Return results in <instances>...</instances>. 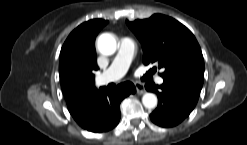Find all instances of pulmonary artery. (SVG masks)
<instances>
[{
  "instance_id": "e3ab8cb5",
  "label": "pulmonary artery",
  "mask_w": 247,
  "mask_h": 145,
  "mask_svg": "<svg viewBox=\"0 0 247 145\" xmlns=\"http://www.w3.org/2000/svg\"><path fill=\"white\" fill-rule=\"evenodd\" d=\"M135 49V42L131 38L123 37L120 40L119 50L113 62L108 69L96 78V83L98 85H105L122 78L128 70L135 53ZM156 81L158 84L163 83V79L160 76L156 78Z\"/></svg>"
}]
</instances>
